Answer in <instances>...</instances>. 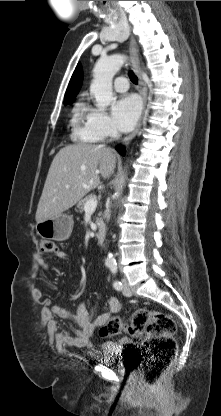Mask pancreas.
Returning <instances> with one entry per match:
<instances>
[{"label": "pancreas", "instance_id": "cf45deb5", "mask_svg": "<svg viewBox=\"0 0 221 416\" xmlns=\"http://www.w3.org/2000/svg\"><path fill=\"white\" fill-rule=\"evenodd\" d=\"M92 198H95V195L94 194H90V195H88V196H86L84 199H81L79 202H78V204H77V208H78V211L80 212V213H82L83 211H84V205H85V203L87 202V201H89L90 199H92ZM102 215V213H99L98 214V216H101ZM102 222V219L100 218V217H97L96 218V223L97 224H99V223H101Z\"/></svg>", "mask_w": 221, "mask_h": 416}]
</instances>
